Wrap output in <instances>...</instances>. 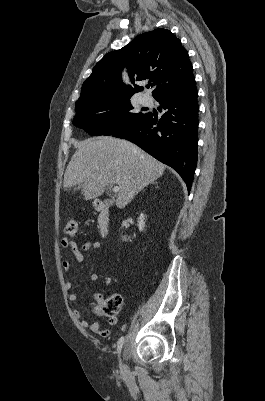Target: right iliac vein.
<instances>
[{"label":"right iliac vein","mask_w":265,"mask_h":401,"mask_svg":"<svg viewBox=\"0 0 265 401\" xmlns=\"http://www.w3.org/2000/svg\"><path fill=\"white\" fill-rule=\"evenodd\" d=\"M120 370L123 372V374H126L128 372L126 364H124L122 361H120Z\"/></svg>","instance_id":"obj_1"}]
</instances>
